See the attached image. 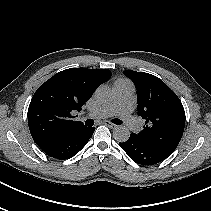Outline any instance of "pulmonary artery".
<instances>
[{"label": "pulmonary artery", "mask_w": 211, "mask_h": 211, "mask_svg": "<svg viewBox=\"0 0 211 211\" xmlns=\"http://www.w3.org/2000/svg\"><path fill=\"white\" fill-rule=\"evenodd\" d=\"M134 87L131 83L114 85L115 98L112 103L102 105L96 110L85 114V117L103 119L111 116H119L128 128L138 130V125L131 116V97Z\"/></svg>", "instance_id": "obj_1"}]
</instances>
